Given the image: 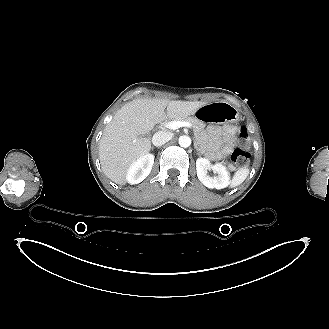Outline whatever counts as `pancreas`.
<instances>
[{
  "label": "pancreas",
  "instance_id": "obj_1",
  "mask_svg": "<svg viewBox=\"0 0 329 329\" xmlns=\"http://www.w3.org/2000/svg\"><path fill=\"white\" fill-rule=\"evenodd\" d=\"M178 120H179V121H186V122L191 123L193 129L195 130V132H200V131H202L203 128H204V126H205L200 120H198V119H196V118H194V117H185V118H180V119H178ZM228 167H229L231 170H234V169H235L234 166H233L232 164H229Z\"/></svg>",
  "mask_w": 329,
  "mask_h": 329
}]
</instances>
